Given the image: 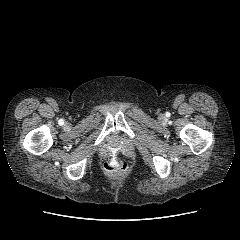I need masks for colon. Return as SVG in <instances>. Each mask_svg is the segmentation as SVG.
Here are the masks:
<instances>
[{
    "mask_svg": "<svg viewBox=\"0 0 240 240\" xmlns=\"http://www.w3.org/2000/svg\"><path fill=\"white\" fill-rule=\"evenodd\" d=\"M127 161L119 154H114L104 163V170L107 173H118L127 169Z\"/></svg>",
    "mask_w": 240,
    "mask_h": 240,
    "instance_id": "5ec220e1",
    "label": "colon"
}]
</instances>
